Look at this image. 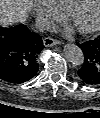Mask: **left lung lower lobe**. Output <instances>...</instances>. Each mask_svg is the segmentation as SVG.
<instances>
[{
	"mask_svg": "<svg viewBox=\"0 0 100 118\" xmlns=\"http://www.w3.org/2000/svg\"><path fill=\"white\" fill-rule=\"evenodd\" d=\"M78 46L84 54L83 66L78 70L80 80L88 85H100V36Z\"/></svg>",
	"mask_w": 100,
	"mask_h": 118,
	"instance_id": "obj_1",
	"label": "left lung lower lobe"
}]
</instances>
